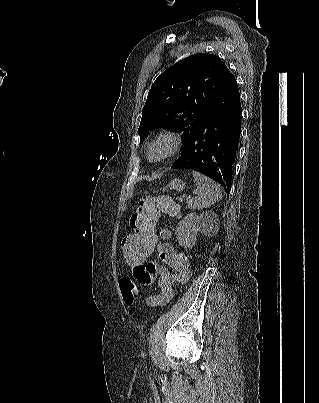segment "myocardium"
I'll return each mask as SVG.
<instances>
[{
    "label": "myocardium",
    "instance_id": "f54148a6",
    "mask_svg": "<svg viewBox=\"0 0 319 403\" xmlns=\"http://www.w3.org/2000/svg\"><path fill=\"white\" fill-rule=\"evenodd\" d=\"M163 144L165 146V150L162 155L157 158H153L151 155V151L153 147ZM182 146L181 136L173 130H165L157 134L147 145L146 155L148 160L152 162H161L165 161L174 155H176Z\"/></svg>",
    "mask_w": 319,
    "mask_h": 403
}]
</instances>
